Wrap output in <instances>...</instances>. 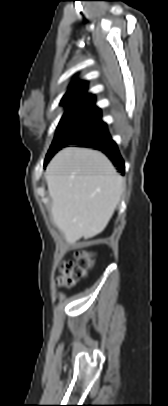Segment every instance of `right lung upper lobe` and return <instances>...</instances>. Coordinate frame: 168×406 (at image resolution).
<instances>
[{
    "label": "right lung upper lobe",
    "instance_id": "cb5924a9",
    "mask_svg": "<svg viewBox=\"0 0 168 406\" xmlns=\"http://www.w3.org/2000/svg\"><path fill=\"white\" fill-rule=\"evenodd\" d=\"M87 82L80 81L73 83L61 100V104L67 108L80 106H94V96L86 94Z\"/></svg>",
    "mask_w": 168,
    "mask_h": 406
}]
</instances>
